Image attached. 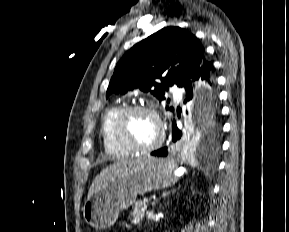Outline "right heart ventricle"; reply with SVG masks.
Masks as SVG:
<instances>
[{
  "label": "right heart ventricle",
  "instance_id": "e07e8e85",
  "mask_svg": "<svg viewBox=\"0 0 289 232\" xmlns=\"http://www.w3.org/2000/svg\"><path fill=\"white\" fill-rule=\"evenodd\" d=\"M122 108L123 107L120 105L108 108L102 118L100 127L104 149L107 154L114 157H124L130 154L129 151L125 150L117 143L113 134L115 118Z\"/></svg>",
  "mask_w": 289,
  "mask_h": 232
}]
</instances>
